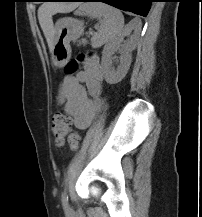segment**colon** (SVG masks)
<instances>
[{"mask_svg":"<svg viewBox=\"0 0 202 217\" xmlns=\"http://www.w3.org/2000/svg\"><path fill=\"white\" fill-rule=\"evenodd\" d=\"M84 56H79L76 59L70 60L65 68L64 72L66 75H73L76 73L81 63L84 61ZM71 117L64 111L57 112L52 121V134L54 141L57 144H62L66 139L69 146L73 150H77L80 147L81 137L79 133L70 130Z\"/></svg>","mask_w":202,"mask_h":217,"instance_id":"5ec220e1","label":"colon"}]
</instances>
